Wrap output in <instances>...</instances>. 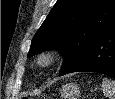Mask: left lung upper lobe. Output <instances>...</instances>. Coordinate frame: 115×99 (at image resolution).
Listing matches in <instances>:
<instances>
[{
  "mask_svg": "<svg viewBox=\"0 0 115 99\" xmlns=\"http://www.w3.org/2000/svg\"><path fill=\"white\" fill-rule=\"evenodd\" d=\"M114 24L115 0H57L32 39L28 57L58 50L64 75Z\"/></svg>",
  "mask_w": 115,
  "mask_h": 99,
  "instance_id": "left-lung-upper-lobe-1",
  "label": "left lung upper lobe"
}]
</instances>
